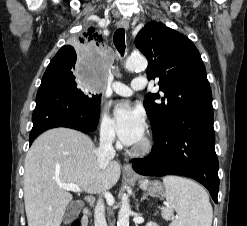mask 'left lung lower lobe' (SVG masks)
Masks as SVG:
<instances>
[{"label": "left lung lower lobe", "instance_id": "obj_1", "mask_svg": "<svg viewBox=\"0 0 247 226\" xmlns=\"http://www.w3.org/2000/svg\"><path fill=\"white\" fill-rule=\"evenodd\" d=\"M152 152L133 159V169L146 176L181 175L203 184L217 203L218 159L215 153L213 107L188 109L166 125L153 130Z\"/></svg>", "mask_w": 247, "mask_h": 226}]
</instances>
